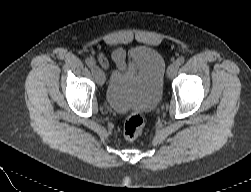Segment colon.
<instances>
[{
  "instance_id": "colon-1",
  "label": "colon",
  "mask_w": 251,
  "mask_h": 192,
  "mask_svg": "<svg viewBox=\"0 0 251 192\" xmlns=\"http://www.w3.org/2000/svg\"><path fill=\"white\" fill-rule=\"evenodd\" d=\"M144 117L139 111L132 112L124 124V136L128 141L136 140L143 131Z\"/></svg>"
}]
</instances>
